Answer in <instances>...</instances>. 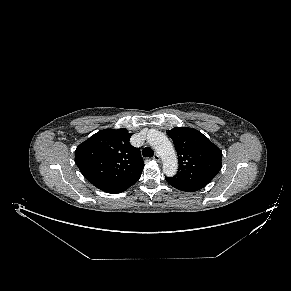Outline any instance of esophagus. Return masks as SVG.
<instances>
[{
	"mask_svg": "<svg viewBox=\"0 0 291 291\" xmlns=\"http://www.w3.org/2000/svg\"><path fill=\"white\" fill-rule=\"evenodd\" d=\"M153 159H154L155 161H157V162H160V161H161V158H160V156H159L158 154H155V155L153 156Z\"/></svg>",
	"mask_w": 291,
	"mask_h": 291,
	"instance_id": "esophagus-1",
	"label": "esophagus"
}]
</instances>
